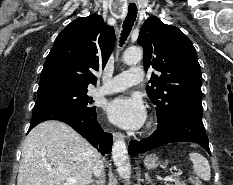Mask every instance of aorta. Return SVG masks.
I'll use <instances>...</instances> for the list:
<instances>
[{
	"mask_svg": "<svg viewBox=\"0 0 233 185\" xmlns=\"http://www.w3.org/2000/svg\"><path fill=\"white\" fill-rule=\"evenodd\" d=\"M143 57V51L139 47H130L123 54L124 62L133 65ZM112 158L118 174L125 180L131 176V165L128 157L126 143L123 139L116 140L112 147Z\"/></svg>",
	"mask_w": 233,
	"mask_h": 185,
	"instance_id": "1",
	"label": "aorta"
}]
</instances>
